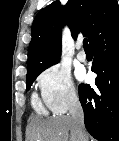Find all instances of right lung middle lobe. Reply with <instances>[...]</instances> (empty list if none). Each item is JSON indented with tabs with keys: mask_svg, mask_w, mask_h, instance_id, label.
Listing matches in <instances>:
<instances>
[{
	"mask_svg": "<svg viewBox=\"0 0 119 141\" xmlns=\"http://www.w3.org/2000/svg\"><path fill=\"white\" fill-rule=\"evenodd\" d=\"M41 72H36V73H32L27 75L26 77V81H27V90L30 89L32 83L34 82V80L36 79V77L40 74Z\"/></svg>",
	"mask_w": 119,
	"mask_h": 141,
	"instance_id": "dd1d6c3e",
	"label": "right lung middle lobe"
}]
</instances>
